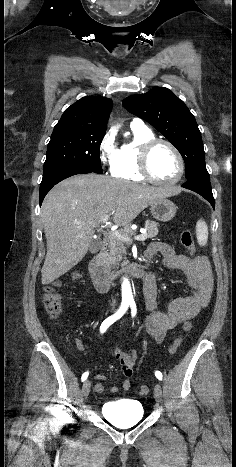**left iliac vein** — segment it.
Returning <instances> with one entry per match:
<instances>
[{
  "mask_svg": "<svg viewBox=\"0 0 236 467\" xmlns=\"http://www.w3.org/2000/svg\"><path fill=\"white\" fill-rule=\"evenodd\" d=\"M154 398L158 403L163 401V390L160 384H156L154 387Z\"/></svg>",
  "mask_w": 236,
  "mask_h": 467,
  "instance_id": "1",
  "label": "left iliac vein"
}]
</instances>
